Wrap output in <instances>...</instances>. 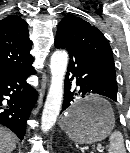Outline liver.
I'll use <instances>...</instances> for the list:
<instances>
[{
	"label": "liver",
	"mask_w": 130,
	"mask_h": 153,
	"mask_svg": "<svg viewBox=\"0 0 130 153\" xmlns=\"http://www.w3.org/2000/svg\"><path fill=\"white\" fill-rule=\"evenodd\" d=\"M15 146V135L8 129L0 126V153H11Z\"/></svg>",
	"instance_id": "1"
}]
</instances>
